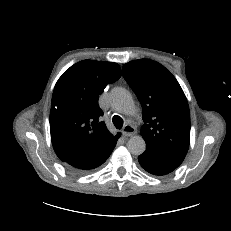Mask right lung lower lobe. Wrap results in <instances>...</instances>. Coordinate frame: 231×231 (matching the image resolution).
<instances>
[{"mask_svg": "<svg viewBox=\"0 0 231 231\" xmlns=\"http://www.w3.org/2000/svg\"><path fill=\"white\" fill-rule=\"evenodd\" d=\"M118 138L104 149L96 153L67 157L61 161H63L70 170L76 172H86L94 169L102 165L108 159L114 147L116 146Z\"/></svg>", "mask_w": 231, "mask_h": 231, "instance_id": "1", "label": "right lung lower lobe"}]
</instances>
